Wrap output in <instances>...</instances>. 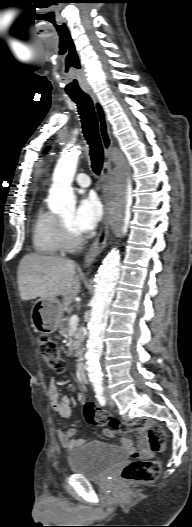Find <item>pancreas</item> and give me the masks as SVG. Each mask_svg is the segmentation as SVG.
<instances>
[{"instance_id": "obj_1", "label": "pancreas", "mask_w": 192, "mask_h": 527, "mask_svg": "<svg viewBox=\"0 0 192 527\" xmlns=\"http://www.w3.org/2000/svg\"><path fill=\"white\" fill-rule=\"evenodd\" d=\"M60 332L63 334H68L70 331V318L66 317L61 320V324L59 326ZM83 327H77L74 331V338H75V348H79L82 340L84 339L83 336Z\"/></svg>"}]
</instances>
